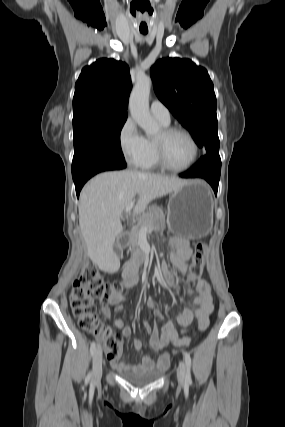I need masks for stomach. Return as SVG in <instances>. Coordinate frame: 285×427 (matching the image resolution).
<instances>
[{"mask_svg":"<svg viewBox=\"0 0 285 427\" xmlns=\"http://www.w3.org/2000/svg\"><path fill=\"white\" fill-rule=\"evenodd\" d=\"M162 223L163 219H159ZM166 222L169 230L186 239H199L213 226V198L202 180H189L169 199Z\"/></svg>","mask_w":285,"mask_h":427,"instance_id":"stomach-1","label":"stomach"}]
</instances>
